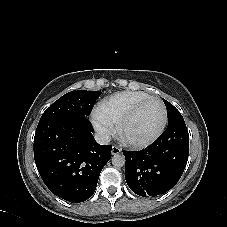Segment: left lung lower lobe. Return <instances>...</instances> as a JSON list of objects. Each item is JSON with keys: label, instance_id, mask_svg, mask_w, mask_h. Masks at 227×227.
<instances>
[{"label": "left lung lower lobe", "instance_id": "left-lung-lower-lobe-1", "mask_svg": "<svg viewBox=\"0 0 227 227\" xmlns=\"http://www.w3.org/2000/svg\"><path fill=\"white\" fill-rule=\"evenodd\" d=\"M125 179L139 196L155 197L173 188L189 156V133L183 117L168 122L166 130L141 151H123Z\"/></svg>", "mask_w": 227, "mask_h": 227}]
</instances>
